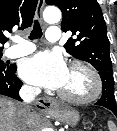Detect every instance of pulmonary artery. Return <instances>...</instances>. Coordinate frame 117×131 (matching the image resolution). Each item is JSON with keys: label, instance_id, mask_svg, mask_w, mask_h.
<instances>
[{"label": "pulmonary artery", "instance_id": "pulmonary-artery-1", "mask_svg": "<svg viewBox=\"0 0 117 131\" xmlns=\"http://www.w3.org/2000/svg\"><path fill=\"white\" fill-rule=\"evenodd\" d=\"M59 38L60 29L56 26L49 27L46 33V39L49 42H57ZM15 41L17 42V45L9 48L7 51V56L10 58L24 56L35 50V46L28 41H25L21 38H17Z\"/></svg>", "mask_w": 117, "mask_h": 131}]
</instances>
